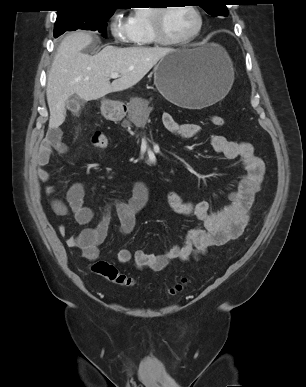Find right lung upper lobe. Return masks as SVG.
Segmentation results:
<instances>
[{"mask_svg":"<svg viewBox=\"0 0 306 387\" xmlns=\"http://www.w3.org/2000/svg\"><path fill=\"white\" fill-rule=\"evenodd\" d=\"M58 13L72 10H115L116 0H61Z\"/></svg>","mask_w":306,"mask_h":387,"instance_id":"right-lung-upper-lobe-1","label":"right lung upper lobe"}]
</instances>
